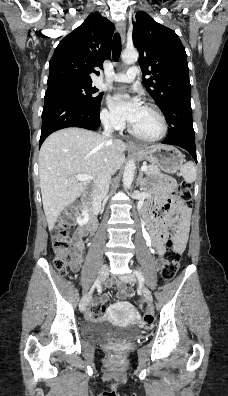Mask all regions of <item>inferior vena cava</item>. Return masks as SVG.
I'll return each mask as SVG.
<instances>
[{
    "mask_svg": "<svg viewBox=\"0 0 228 396\" xmlns=\"http://www.w3.org/2000/svg\"><path fill=\"white\" fill-rule=\"evenodd\" d=\"M112 132H113V126L110 122L106 121L104 122V132L103 135L110 141H112L113 139L112 137ZM111 178V174L110 172H107L103 177L98 178L95 182H94V186H93V198L96 201H102L108 191H109V181Z\"/></svg>",
    "mask_w": 228,
    "mask_h": 396,
    "instance_id": "602c4592",
    "label": "inferior vena cava"
}]
</instances>
